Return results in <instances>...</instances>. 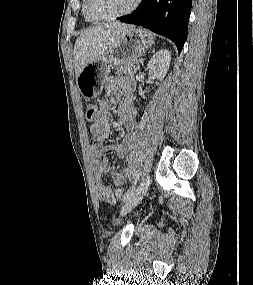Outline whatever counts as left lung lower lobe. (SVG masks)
I'll list each match as a JSON object with an SVG mask.
<instances>
[{
  "label": "left lung lower lobe",
  "mask_w": 253,
  "mask_h": 285,
  "mask_svg": "<svg viewBox=\"0 0 253 285\" xmlns=\"http://www.w3.org/2000/svg\"><path fill=\"white\" fill-rule=\"evenodd\" d=\"M191 4L192 0H144L132 14L117 19L171 39L180 53L188 33Z\"/></svg>",
  "instance_id": "left-lung-lower-lobe-1"
}]
</instances>
